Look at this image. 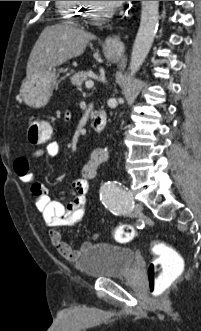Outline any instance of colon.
I'll list each match as a JSON object with an SVG mask.
<instances>
[{
	"label": "colon",
	"mask_w": 201,
	"mask_h": 331,
	"mask_svg": "<svg viewBox=\"0 0 201 331\" xmlns=\"http://www.w3.org/2000/svg\"><path fill=\"white\" fill-rule=\"evenodd\" d=\"M27 134L30 143L38 145L48 142L52 130L49 123L37 116L29 118ZM137 235V230L129 224H121L114 228L113 236L117 241L127 242ZM156 257L147 268L148 289L150 294L163 303L167 301L172 287L182 275L184 261L182 257L169 245L157 241L153 245Z\"/></svg>",
	"instance_id": "obj_1"
}]
</instances>
